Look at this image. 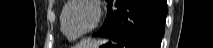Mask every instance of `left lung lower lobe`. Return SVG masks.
Here are the masks:
<instances>
[{
	"instance_id": "obj_1",
	"label": "left lung lower lobe",
	"mask_w": 213,
	"mask_h": 48,
	"mask_svg": "<svg viewBox=\"0 0 213 48\" xmlns=\"http://www.w3.org/2000/svg\"><path fill=\"white\" fill-rule=\"evenodd\" d=\"M166 13V0H110L94 36L110 38L119 48H159Z\"/></svg>"
}]
</instances>
